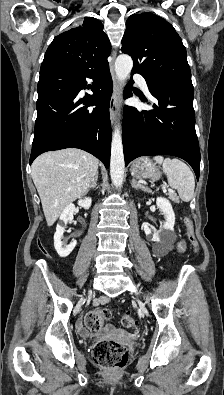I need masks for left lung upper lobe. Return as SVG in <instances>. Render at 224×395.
I'll return each mask as SVG.
<instances>
[{"label":"left lung upper lobe","instance_id":"5c2ea615","mask_svg":"<svg viewBox=\"0 0 224 395\" xmlns=\"http://www.w3.org/2000/svg\"><path fill=\"white\" fill-rule=\"evenodd\" d=\"M121 51L132 57V71L147 81L193 87L186 49L165 19L152 13L131 15Z\"/></svg>","mask_w":224,"mask_h":395}]
</instances>
